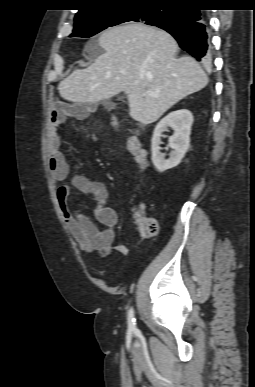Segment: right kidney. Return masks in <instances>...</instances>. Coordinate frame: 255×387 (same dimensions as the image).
Masks as SVG:
<instances>
[{
	"instance_id": "1",
	"label": "right kidney",
	"mask_w": 255,
	"mask_h": 387,
	"mask_svg": "<svg viewBox=\"0 0 255 387\" xmlns=\"http://www.w3.org/2000/svg\"><path fill=\"white\" fill-rule=\"evenodd\" d=\"M193 115L189 110L181 109L169 113L155 127L152 137V161L159 172L176 167L184 157L190 146L191 126ZM172 128L174 134L169 137V146L172 148L169 159H165L160 144L162 133Z\"/></svg>"
}]
</instances>
